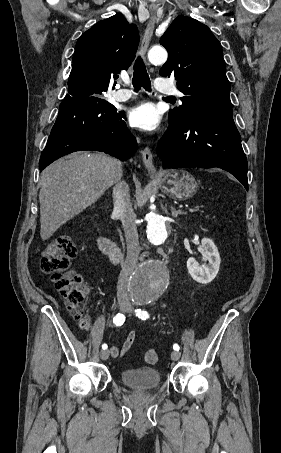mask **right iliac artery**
<instances>
[{"mask_svg":"<svg viewBox=\"0 0 281 453\" xmlns=\"http://www.w3.org/2000/svg\"><path fill=\"white\" fill-rule=\"evenodd\" d=\"M125 322V316L123 314L118 313L114 318H113V323L116 324V326H121ZM107 345L103 344L102 348L103 350L107 349Z\"/></svg>","mask_w":281,"mask_h":453,"instance_id":"82829eb1","label":"right iliac artery"}]
</instances>
